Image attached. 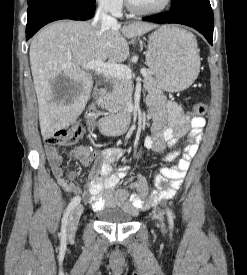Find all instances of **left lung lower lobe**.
Listing matches in <instances>:
<instances>
[{
    "label": "left lung lower lobe",
    "mask_w": 247,
    "mask_h": 275,
    "mask_svg": "<svg viewBox=\"0 0 247 275\" xmlns=\"http://www.w3.org/2000/svg\"><path fill=\"white\" fill-rule=\"evenodd\" d=\"M142 19L155 23H178L193 27L203 34L212 45L214 18L209 0L192 3Z\"/></svg>",
    "instance_id": "obj_1"
}]
</instances>
